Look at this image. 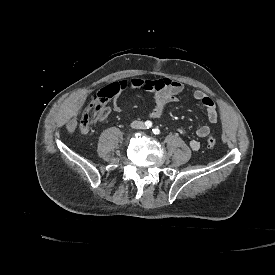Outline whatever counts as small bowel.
<instances>
[{
  "label": "small bowel",
  "instance_id": "obj_1",
  "mask_svg": "<svg viewBox=\"0 0 275 275\" xmlns=\"http://www.w3.org/2000/svg\"><path fill=\"white\" fill-rule=\"evenodd\" d=\"M117 84H119L123 89L125 87H130L133 90H145L152 93L155 104L151 110L150 115L154 118H158L163 114L165 106L167 104L178 101V95L184 90V86L182 83L167 77L159 79L157 81L132 79L130 82L120 81ZM110 85L105 86L99 92L106 90V88ZM192 97L195 100L199 101L205 108L208 122L211 124L217 123L219 120V113L214 99L207 95L204 91L199 89H196L192 92ZM113 110L115 112L121 111V106L118 103L117 99H114L113 101ZM177 130L181 134L185 133V130L181 127H179ZM88 131L89 128L87 131L81 132L83 134H86ZM210 132V126L205 124L198 127V129L196 130V135L200 138H206L210 134ZM190 146L193 149H198L199 142L193 139L190 141Z\"/></svg>",
  "mask_w": 275,
  "mask_h": 275
}]
</instances>
